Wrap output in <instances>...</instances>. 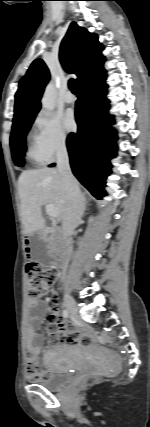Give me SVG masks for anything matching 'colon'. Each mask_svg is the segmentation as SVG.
<instances>
[{"label": "colon", "mask_w": 150, "mask_h": 427, "mask_svg": "<svg viewBox=\"0 0 150 427\" xmlns=\"http://www.w3.org/2000/svg\"><path fill=\"white\" fill-rule=\"evenodd\" d=\"M27 294L36 300L46 295L55 283L56 274L52 269L45 268L36 261L26 264Z\"/></svg>", "instance_id": "obj_1"}]
</instances>
